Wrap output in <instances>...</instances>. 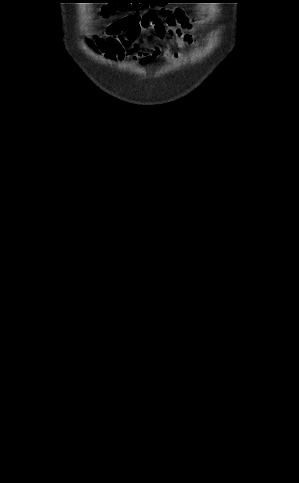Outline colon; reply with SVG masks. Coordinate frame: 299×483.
Masks as SVG:
<instances>
[{
	"label": "colon",
	"mask_w": 299,
	"mask_h": 483,
	"mask_svg": "<svg viewBox=\"0 0 299 483\" xmlns=\"http://www.w3.org/2000/svg\"><path fill=\"white\" fill-rule=\"evenodd\" d=\"M126 1H105L102 2V6L100 8V13L103 16H109L121 9H126L129 7V3H125Z\"/></svg>",
	"instance_id": "colon-1"
}]
</instances>
